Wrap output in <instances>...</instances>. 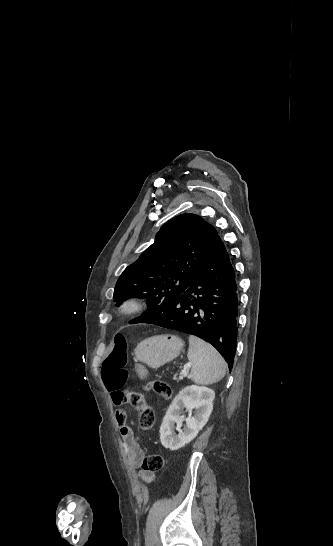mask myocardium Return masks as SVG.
I'll use <instances>...</instances> for the list:
<instances>
[{"instance_id":"myocardium-1","label":"myocardium","mask_w":333,"mask_h":546,"mask_svg":"<svg viewBox=\"0 0 333 546\" xmlns=\"http://www.w3.org/2000/svg\"><path fill=\"white\" fill-rule=\"evenodd\" d=\"M146 305L144 298L131 296L118 306V313L123 318H130L141 313L146 308Z\"/></svg>"}]
</instances>
